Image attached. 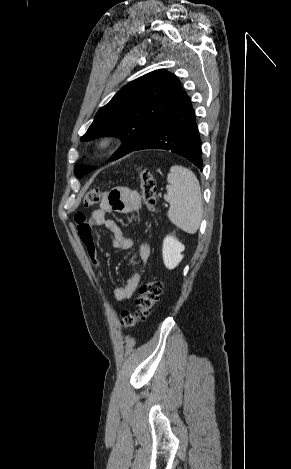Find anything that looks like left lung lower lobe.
Returning <instances> with one entry per match:
<instances>
[{"mask_svg": "<svg viewBox=\"0 0 291 469\" xmlns=\"http://www.w3.org/2000/svg\"><path fill=\"white\" fill-rule=\"evenodd\" d=\"M149 148L169 150L202 169L201 139L195 111L187 94L158 126L126 154Z\"/></svg>", "mask_w": 291, "mask_h": 469, "instance_id": "0a47b994", "label": "left lung lower lobe"}]
</instances>
